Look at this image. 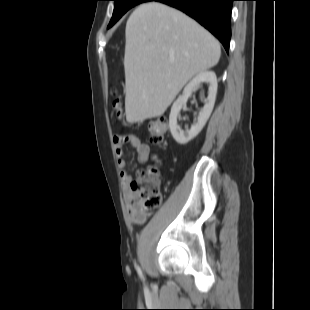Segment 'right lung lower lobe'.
I'll use <instances>...</instances> for the list:
<instances>
[{
  "mask_svg": "<svg viewBox=\"0 0 310 310\" xmlns=\"http://www.w3.org/2000/svg\"><path fill=\"white\" fill-rule=\"evenodd\" d=\"M177 8L208 29L228 52L232 2L235 0H148Z\"/></svg>",
  "mask_w": 310,
  "mask_h": 310,
  "instance_id": "98d812e1",
  "label": "right lung lower lobe"
}]
</instances>
